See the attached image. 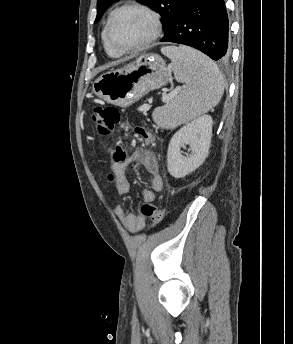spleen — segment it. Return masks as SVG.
<instances>
[{"instance_id": "obj_1", "label": "spleen", "mask_w": 293, "mask_h": 344, "mask_svg": "<svg viewBox=\"0 0 293 344\" xmlns=\"http://www.w3.org/2000/svg\"><path fill=\"white\" fill-rule=\"evenodd\" d=\"M161 52L172 61L175 79L186 84L165 106L153 111L154 122L174 129L215 107L224 93V78L217 65L203 53L186 46H167Z\"/></svg>"}]
</instances>
